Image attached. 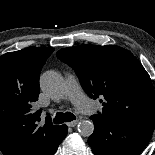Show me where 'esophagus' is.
Instances as JSON below:
<instances>
[{"label": "esophagus", "instance_id": "1", "mask_svg": "<svg viewBox=\"0 0 155 155\" xmlns=\"http://www.w3.org/2000/svg\"><path fill=\"white\" fill-rule=\"evenodd\" d=\"M78 124V120L71 121L67 123L68 127H75Z\"/></svg>", "mask_w": 155, "mask_h": 155}]
</instances>
